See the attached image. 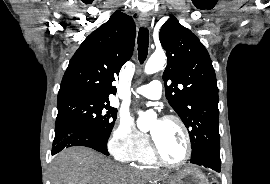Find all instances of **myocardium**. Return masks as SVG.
I'll return each mask as SVG.
<instances>
[{"label":"myocardium","instance_id":"1","mask_svg":"<svg viewBox=\"0 0 270 184\" xmlns=\"http://www.w3.org/2000/svg\"><path fill=\"white\" fill-rule=\"evenodd\" d=\"M162 121L174 122L181 128V130L184 134V138H185L186 152H185V155L181 161L176 162V163L169 162L162 157V155L159 151V148L157 146V143L155 142L154 138L151 137L152 154H153L156 162H158L159 164H161L165 167H168V168H180V167L184 166L190 160L191 155H192V141H191V136H190L189 130H188L186 124L184 123V121L181 118H179L178 116L166 115V116L162 117Z\"/></svg>","mask_w":270,"mask_h":184}]
</instances>
